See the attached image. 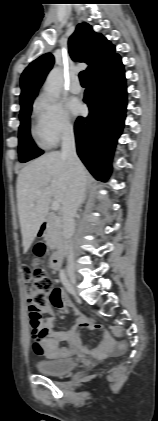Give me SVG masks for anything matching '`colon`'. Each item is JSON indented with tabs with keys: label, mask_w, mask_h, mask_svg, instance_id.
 Segmentation results:
<instances>
[{
	"label": "colon",
	"mask_w": 158,
	"mask_h": 421,
	"mask_svg": "<svg viewBox=\"0 0 158 421\" xmlns=\"http://www.w3.org/2000/svg\"><path fill=\"white\" fill-rule=\"evenodd\" d=\"M43 247L36 248V254L40 255ZM23 276L28 294L30 322L36 324L40 320V308L45 306L51 296L52 282L46 272L39 267L23 266ZM95 328L98 326L95 324ZM124 345H119V350H123Z\"/></svg>",
	"instance_id": "5ec220e1"
}]
</instances>
